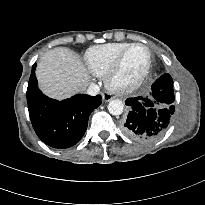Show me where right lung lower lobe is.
Wrapping results in <instances>:
<instances>
[{"mask_svg": "<svg viewBox=\"0 0 205 205\" xmlns=\"http://www.w3.org/2000/svg\"><path fill=\"white\" fill-rule=\"evenodd\" d=\"M33 65L27 88L29 116L37 136L47 145L64 149L83 137L89 115L100 106L101 95L77 94L61 102L43 95L38 89Z\"/></svg>", "mask_w": 205, "mask_h": 205, "instance_id": "1", "label": "right lung lower lobe"}]
</instances>
